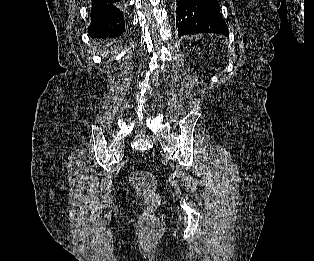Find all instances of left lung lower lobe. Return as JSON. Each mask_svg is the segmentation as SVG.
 Returning a JSON list of instances; mask_svg holds the SVG:
<instances>
[{"mask_svg": "<svg viewBox=\"0 0 314 261\" xmlns=\"http://www.w3.org/2000/svg\"><path fill=\"white\" fill-rule=\"evenodd\" d=\"M176 20L179 36L195 33L229 35L217 0H178Z\"/></svg>", "mask_w": 314, "mask_h": 261, "instance_id": "1", "label": "left lung lower lobe"}]
</instances>
